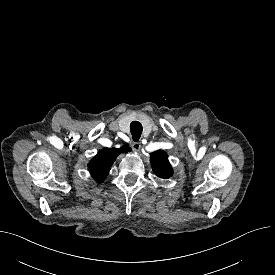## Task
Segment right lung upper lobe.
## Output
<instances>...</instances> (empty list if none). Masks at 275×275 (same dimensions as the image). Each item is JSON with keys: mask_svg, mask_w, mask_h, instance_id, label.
<instances>
[{"mask_svg": "<svg viewBox=\"0 0 275 275\" xmlns=\"http://www.w3.org/2000/svg\"><path fill=\"white\" fill-rule=\"evenodd\" d=\"M128 144H125L123 147L118 149L116 148H103L100 150L97 155L89 162L88 170L92 177L98 181L103 182L111 168L116 157L121 153H126L130 151Z\"/></svg>", "mask_w": 275, "mask_h": 275, "instance_id": "cb5924a9", "label": "right lung upper lobe"}]
</instances>
